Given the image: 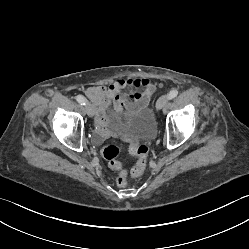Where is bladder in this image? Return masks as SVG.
<instances>
[{"instance_id":"bladder-1","label":"bladder","mask_w":249,"mask_h":249,"mask_svg":"<svg viewBox=\"0 0 249 249\" xmlns=\"http://www.w3.org/2000/svg\"><path fill=\"white\" fill-rule=\"evenodd\" d=\"M111 132L124 138L149 140L155 134L153 115L149 107H144L125 116L116 109H111L106 119Z\"/></svg>"}]
</instances>
